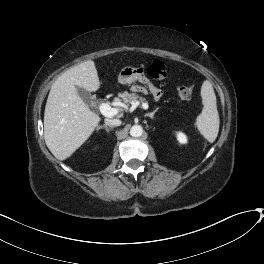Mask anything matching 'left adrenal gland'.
<instances>
[{
	"label": "left adrenal gland",
	"mask_w": 264,
	"mask_h": 264,
	"mask_svg": "<svg viewBox=\"0 0 264 264\" xmlns=\"http://www.w3.org/2000/svg\"><path fill=\"white\" fill-rule=\"evenodd\" d=\"M158 108H156L153 112L145 114V116H148L150 118L154 117V114L157 112Z\"/></svg>",
	"instance_id": "a2214340"
}]
</instances>
